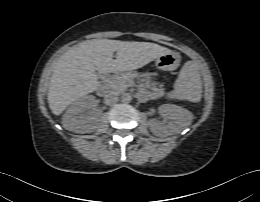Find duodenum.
I'll use <instances>...</instances> for the list:
<instances>
[{
	"label": "duodenum",
	"mask_w": 260,
	"mask_h": 202,
	"mask_svg": "<svg viewBox=\"0 0 260 202\" xmlns=\"http://www.w3.org/2000/svg\"><path fill=\"white\" fill-rule=\"evenodd\" d=\"M116 74H117L116 71H111V72H109V73L107 74V77H108V78H111V77H114ZM101 90H102V87L99 86L98 89H97V91H98V92H101Z\"/></svg>",
	"instance_id": "duodenum-1"
}]
</instances>
